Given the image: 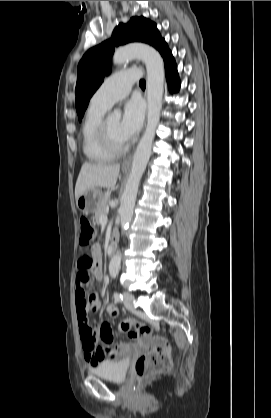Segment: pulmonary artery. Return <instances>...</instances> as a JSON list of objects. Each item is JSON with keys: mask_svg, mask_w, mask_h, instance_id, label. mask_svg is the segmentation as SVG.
Segmentation results:
<instances>
[{"mask_svg": "<svg viewBox=\"0 0 271 418\" xmlns=\"http://www.w3.org/2000/svg\"><path fill=\"white\" fill-rule=\"evenodd\" d=\"M140 78L135 68L124 69L108 77L92 96L91 102L110 108L130 92L133 83Z\"/></svg>", "mask_w": 271, "mask_h": 418, "instance_id": "e3ab8cb5", "label": "pulmonary artery"}]
</instances>
